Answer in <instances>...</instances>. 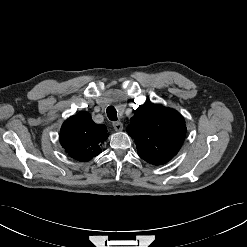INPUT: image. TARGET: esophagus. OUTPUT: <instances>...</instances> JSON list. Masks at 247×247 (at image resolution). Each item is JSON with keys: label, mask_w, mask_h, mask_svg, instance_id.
I'll return each mask as SVG.
<instances>
[{"label": "esophagus", "mask_w": 247, "mask_h": 247, "mask_svg": "<svg viewBox=\"0 0 247 247\" xmlns=\"http://www.w3.org/2000/svg\"><path fill=\"white\" fill-rule=\"evenodd\" d=\"M113 127L115 131H122L123 130V124L120 121L113 122Z\"/></svg>", "instance_id": "34e87169"}]
</instances>
